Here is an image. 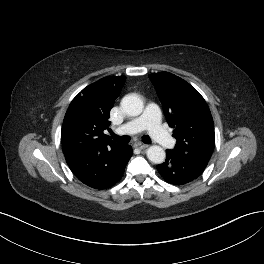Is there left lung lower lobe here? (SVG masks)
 Masks as SVG:
<instances>
[{
    "label": "left lung lower lobe",
    "instance_id": "left-lung-lower-lobe-1",
    "mask_svg": "<svg viewBox=\"0 0 264 264\" xmlns=\"http://www.w3.org/2000/svg\"><path fill=\"white\" fill-rule=\"evenodd\" d=\"M207 164L208 161L179 156L173 150H167L165 162L157 165V169L166 182L184 185L198 178Z\"/></svg>",
    "mask_w": 264,
    "mask_h": 264
}]
</instances>
